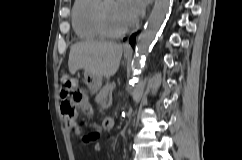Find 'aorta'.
Segmentation results:
<instances>
[{"label":"aorta","instance_id":"1","mask_svg":"<svg viewBox=\"0 0 242 160\" xmlns=\"http://www.w3.org/2000/svg\"><path fill=\"white\" fill-rule=\"evenodd\" d=\"M171 4L172 0H155L153 10L148 18L144 30L141 32L137 40L133 75L130 80V85L132 86L138 78L142 65L145 62L146 55L148 54V51L171 8Z\"/></svg>","mask_w":242,"mask_h":160}]
</instances>
